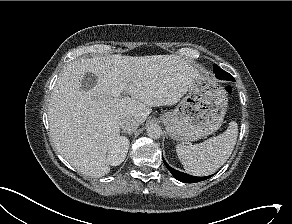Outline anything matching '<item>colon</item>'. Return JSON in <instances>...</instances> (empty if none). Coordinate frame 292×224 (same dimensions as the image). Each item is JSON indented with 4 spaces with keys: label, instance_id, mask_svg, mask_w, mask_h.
<instances>
[{
    "label": "colon",
    "instance_id": "1",
    "mask_svg": "<svg viewBox=\"0 0 292 224\" xmlns=\"http://www.w3.org/2000/svg\"><path fill=\"white\" fill-rule=\"evenodd\" d=\"M225 90L228 94H231V92H232V88L230 86H226Z\"/></svg>",
    "mask_w": 292,
    "mask_h": 224
}]
</instances>
